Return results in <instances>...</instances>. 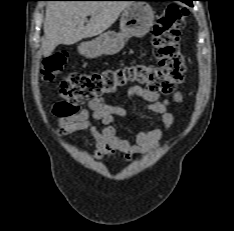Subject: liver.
Segmentation results:
<instances>
[{
    "mask_svg": "<svg viewBox=\"0 0 234 231\" xmlns=\"http://www.w3.org/2000/svg\"><path fill=\"white\" fill-rule=\"evenodd\" d=\"M129 1H51L44 20L42 53L52 54L59 44L72 45L111 27ZM87 16L91 19L86 22Z\"/></svg>",
    "mask_w": 234,
    "mask_h": 231,
    "instance_id": "6515ba94",
    "label": "liver"
}]
</instances>
